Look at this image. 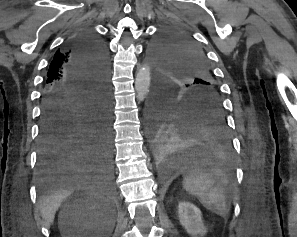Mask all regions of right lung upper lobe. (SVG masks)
Segmentation results:
<instances>
[{
  "label": "right lung upper lobe",
  "mask_w": 297,
  "mask_h": 237,
  "mask_svg": "<svg viewBox=\"0 0 297 237\" xmlns=\"http://www.w3.org/2000/svg\"><path fill=\"white\" fill-rule=\"evenodd\" d=\"M71 60V51L66 46L61 52L58 50L51 62L47 73V81L45 88L54 85H63L71 82L69 73V62Z\"/></svg>",
  "instance_id": "1"
}]
</instances>
